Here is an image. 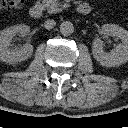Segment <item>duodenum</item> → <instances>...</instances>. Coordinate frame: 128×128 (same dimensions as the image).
<instances>
[{"mask_svg":"<svg viewBox=\"0 0 128 128\" xmlns=\"http://www.w3.org/2000/svg\"><path fill=\"white\" fill-rule=\"evenodd\" d=\"M91 8L88 3L82 2L78 5L77 11L78 13L82 15H86L90 12ZM30 15L34 19H39L43 15V6L41 3H35L31 8H30Z\"/></svg>","mask_w":128,"mask_h":128,"instance_id":"duodenum-1","label":"duodenum"}]
</instances>
